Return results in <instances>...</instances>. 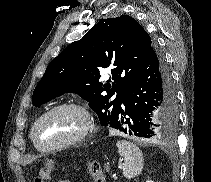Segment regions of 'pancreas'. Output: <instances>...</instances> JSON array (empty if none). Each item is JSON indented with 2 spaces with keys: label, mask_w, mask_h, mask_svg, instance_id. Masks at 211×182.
I'll list each match as a JSON object with an SVG mask.
<instances>
[{
  "label": "pancreas",
  "mask_w": 211,
  "mask_h": 182,
  "mask_svg": "<svg viewBox=\"0 0 211 182\" xmlns=\"http://www.w3.org/2000/svg\"><path fill=\"white\" fill-rule=\"evenodd\" d=\"M106 171H109V167L108 166H106Z\"/></svg>",
  "instance_id": "obj_1"
}]
</instances>
